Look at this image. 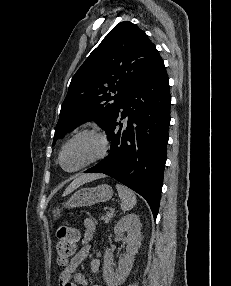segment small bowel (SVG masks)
<instances>
[{
  "label": "small bowel",
  "instance_id": "1",
  "mask_svg": "<svg viewBox=\"0 0 231 286\" xmlns=\"http://www.w3.org/2000/svg\"><path fill=\"white\" fill-rule=\"evenodd\" d=\"M96 224L92 218H86L83 221V239L80 249L71 258L65 269L60 273L59 286H98L96 283H89L86 277L77 272L78 267L87 258L90 252V241L94 236ZM100 270V261L93 259L90 263V271L92 274H97Z\"/></svg>",
  "mask_w": 231,
  "mask_h": 286
}]
</instances>
